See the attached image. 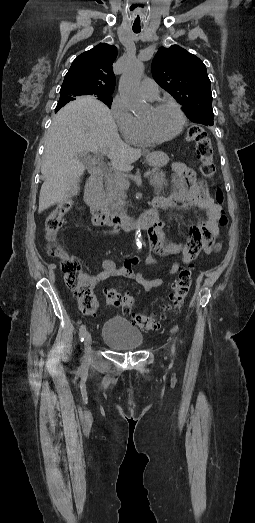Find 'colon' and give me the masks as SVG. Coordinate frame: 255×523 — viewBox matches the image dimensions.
<instances>
[{
  "label": "colon",
  "instance_id": "5ec220e1",
  "mask_svg": "<svg viewBox=\"0 0 255 523\" xmlns=\"http://www.w3.org/2000/svg\"><path fill=\"white\" fill-rule=\"evenodd\" d=\"M187 140L195 145V153L201 174L211 179L216 172V167L213 161V147L206 131L199 125L190 126L187 131ZM74 198L75 193L72 197L61 201L47 216L45 221V232L48 242L47 251L51 257L61 261L65 283L76 294L80 309L86 314H92L98 308L93 287L85 279V273L82 271L79 260L69 254L56 239L65 222V216L74 205ZM215 198L219 204L223 203L224 196L220 188H217ZM219 224L221 226L227 224V217L224 214L220 215ZM220 249L221 244H216L215 251L218 252ZM191 278V268L181 270L171 288L170 304L167 307L169 312L173 314L180 312L191 286ZM106 302L111 306H121L125 312H130L135 306L136 299L130 293L121 295L116 289H109L106 292ZM165 318L166 316L164 315L162 319ZM133 320L143 330H153L161 326L157 319L145 314H136Z\"/></svg>",
  "mask_w": 255,
  "mask_h": 523
}]
</instances>
